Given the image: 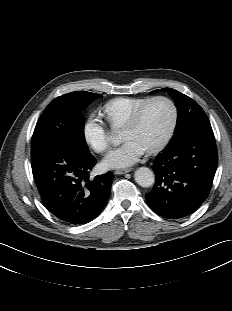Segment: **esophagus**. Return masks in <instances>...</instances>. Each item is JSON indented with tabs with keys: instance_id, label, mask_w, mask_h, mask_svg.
<instances>
[{
	"instance_id": "34e87169",
	"label": "esophagus",
	"mask_w": 232,
	"mask_h": 311,
	"mask_svg": "<svg viewBox=\"0 0 232 311\" xmlns=\"http://www.w3.org/2000/svg\"><path fill=\"white\" fill-rule=\"evenodd\" d=\"M132 171L131 168H127V169H118L115 171V174L117 175H122V174H126L128 172Z\"/></svg>"
}]
</instances>
